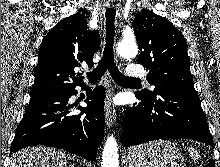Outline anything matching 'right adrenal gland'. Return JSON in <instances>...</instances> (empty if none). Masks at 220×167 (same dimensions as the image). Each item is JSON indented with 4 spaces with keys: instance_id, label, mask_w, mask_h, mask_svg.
Listing matches in <instances>:
<instances>
[{
    "instance_id": "right-adrenal-gland-1",
    "label": "right adrenal gland",
    "mask_w": 220,
    "mask_h": 167,
    "mask_svg": "<svg viewBox=\"0 0 220 167\" xmlns=\"http://www.w3.org/2000/svg\"><path fill=\"white\" fill-rule=\"evenodd\" d=\"M69 167H74L73 165H70Z\"/></svg>"
}]
</instances>
